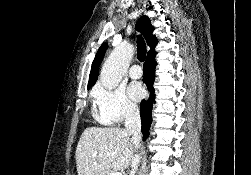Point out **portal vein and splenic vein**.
Wrapping results in <instances>:
<instances>
[{"label":"portal vein and splenic vein","instance_id":"obj_1","mask_svg":"<svg viewBox=\"0 0 251 175\" xmlns=\"http://www.w3.org/2000/svg\"><path fill=\"white\" fill-rule=\"evenodd\" d=\"M110 175H122V173L116 169V171H113V173H110Z\"/></svg>","mask_w":251,"mask_h":175}]
</instances>
